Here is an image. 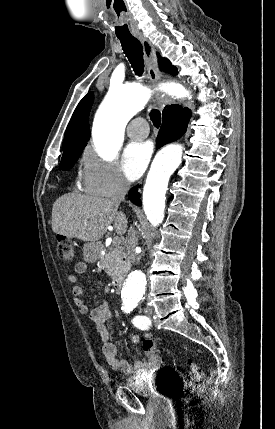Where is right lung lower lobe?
<instances>
[{
    "label": "right lung lower lobe",
    "instance_id": "right-lung-lower-lobe-1",
    "mask_svg": "<svg viewBox=\"0 0 275 429\" xmlns=\"http://www.w3.org/2000/svg\"><path fill=\"white\" fill-rule=\"evenodd\" d=\"M190 117L191 111L188 108L170 105L163 112V123L157 137V148L180 138L187 130ZM138 187H133L129 191V199L132 203L140 206Z\"/></svg>",
    "mask_w": 275,
    "mask_h": 429
}]
</instances>
